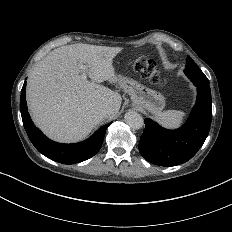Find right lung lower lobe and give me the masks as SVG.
<instances>
[{
    "instance_id": "98d812e1",
    "label": "right lung lower lobe",
    "mask_w": 232,
    "mask_h": 232,
    "mask_svg": "<svg viewBox=\"0 0 232 232\" xmlns=\"http://www.w3.org/2000/svg\"><path fill=\"white\" fill-rule=\"evenodd\" d=\"M26 82H24L20 96V110L24 128L28 134L30 141L37 150L48 157L49 159L63 163L74 164L85 161L94 156L101 148L108 123L101 127L89 139L75 144H62L48 139L35 125L33 124L30 115L27 111L25 99Z\"/></svg>"
}]
</instances>
